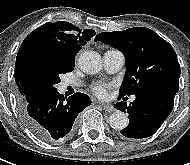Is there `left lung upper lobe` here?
I'll use <instances>...</instances> for the list:
<instances>
[{"mask_svg":"<svg viewBox=\"0 0 190 165\" xmlns=\"http://www.w3.org/2000/svg\"><path fill=\"white\" fill-rule=\"evenodd\" d=\"M120 50L126 59V73L120 97L146 90H179L180 65L172 46L151 29L134 27L103 32L95 37Z\"/></svg>","mask_w":190,"mask_h":165,"instance_id":"5c2ea615","label":"left lung upper lobe"}]
</instances>
